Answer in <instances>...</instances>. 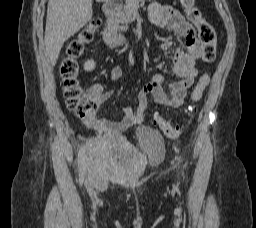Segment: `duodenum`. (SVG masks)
<instances>
[{"label":"duodenum","mask_w":256,"mask_h":228,"mask_svg":"<svg viewBox=\"0 0 256 228\" xmlns=\"http://www.w3.org/2000/svg\"><path fill=\"white\" fill-rule=\"evenodd\" d=\"M103 10L106 18L109 20L118 13L119 8L115 3L108 2L104 5ZM102 37L104 42L110 47H115L123 41L109 26H106L103 30Z\"/></svg>","instance_id":"410a0bca"}]
</instances>
